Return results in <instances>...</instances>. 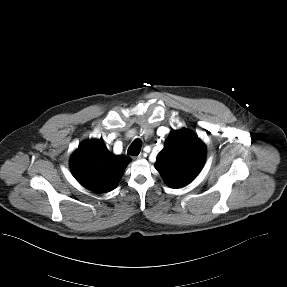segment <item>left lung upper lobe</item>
<instances>
[{"instance_id":"obj_1","label":"left lung upper lobe","mask_w":287,"mask_h":287,"mask_svg":"<svg viewBox=\"0 0 287 287\" xmlns=\"http://www.w3.org/2000/svg\"><path fill=\"white\" fill-rule=\"evenodd\" d=\"M205 156L206 146L195 134L187 129L173 130L154 166L169 187L180 188L198 175Z\"/></svg>"}]
</instances>
